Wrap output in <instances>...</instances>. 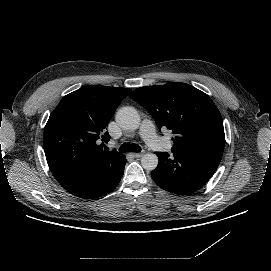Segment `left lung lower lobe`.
<instances>
[{
    "label": "left lung lower lobe",
    "mask_w": 271,
    "mask_h": 271,
    "mask_svg": "<svg viewBox=\"0 0 271 271\" xmlns=\"http://www.w3.org/2000/svg\"><path fill=\"white\" fill-rule=\"evenodd\" d=\"M173 156L156 152L158 167L151 172L162 189L188 195L200 189L216 171L223 153L194 148L172 149Z\"/></svg>",
    "instance_id": "obj_1"
}]
</instances>
